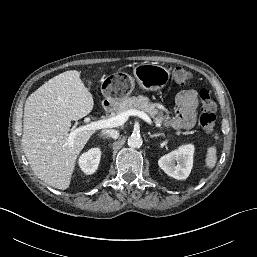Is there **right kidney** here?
<instances>
[{
	"instance_id": "right-kidney-1",
	"label": "right kidney",
	"mask_w": 257,
	"mask_h": 257,
	"mask_svg": "<svg viewBox=\"0 0 257 257\" xmlns=\"http://www.w3.org/2000/svg\"><path fill=\"white\" fill-rule=\"evenodd\" d=\"M101 158V151L99 148H92L83 153L79 158V166L81 170L87 174H93L99 165Z\"/></svg>"
}]
</instances>
